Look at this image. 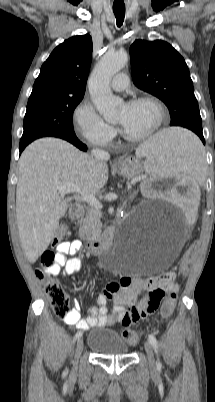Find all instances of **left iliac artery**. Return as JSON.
<instances>
[{"label": "left iliac artery", "mask_w": 215, "mask_h": 402, "mask_svg": "<svg viewBox=\"0 0 215 402\" xmlns=\"http://www.w3.org/2000/svg\"><path fill=\"white\" fill-rule=\"evenodd\" d=\"M149 342L151 343L155 351L158 352V342L153 334L149 335ZM157 367H161V363L159 361L157 362Z\"/></svg>", "instance_id": "1"}]
</instances>
